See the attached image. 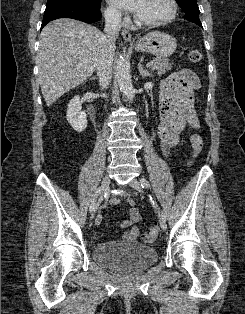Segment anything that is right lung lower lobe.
<instances>
[{"mask_svg":"<svg viewBox=\"0 0 245 314\" xmlns=\"http://www.w3.org/2000/svg\"><path fill=\"white\" fill-rule=\"evenodd\" d=\"M99 7L85 5L59 3L46 6L41 29L50 21L58 18H73L86 23H94L102 18Z\"/></svg>","mask_w":245,"mask_h":314,"instance_id":"1","label":"right lung lower lobe"}]
</instances>
